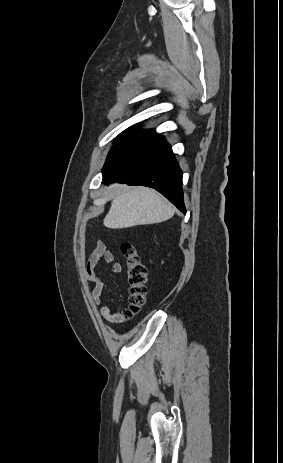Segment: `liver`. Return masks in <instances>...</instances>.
Masks as SVG:
<instances>
[{
  "mask_svg": "<svg viewBox=\"0 0 283 463\" xmlns=\"http://www.w3.org/2000/svg\"><path fill=\"white\" fill-rule=\"evenodd\" d=\"M113 200L104 218V226L122 229L136 225L155 224L170 219L175 210L155 190L114 184Z\"/></svg>",
  "mask_w": 283,
  "mask_h": 463,
  "instance_id": "obj_1",
  "label": "liver"
}]
</instances>
